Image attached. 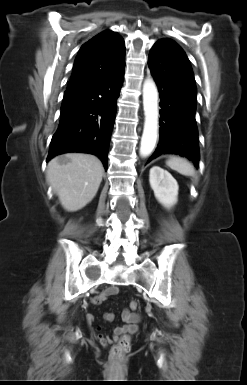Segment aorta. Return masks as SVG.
<instances>
[{"instance_id": "1", "label": "aorta", "mask_w": 247, "mask_h": 385, "mask_svg": "<svg viewBox=\"0 0 247 385\" xmlns=\"http://www.w3.org/2000/svg\"><path fill=\"white\" fill-rule=\"evenodd\" d=\"M143 108L145 121L139 153L147 157L153 152L158 138V90L153 79L143 83Z\"/></svg>"}]
</instances>
